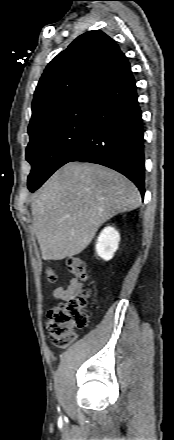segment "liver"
Masks as SVG:
<instances>
[{
	"label": "liver",
	"mask_w": 174,
	"mask_h": 440,
	"mask_svg": "<svg viewBox=\"0 0 174 440\" xmlns=\"http://www.w3.org/2000/svg\"><path fill=\"white\" fill-rule=\"evenodd\" d=\"M137 187L122 174L90 163L56 171L31 203L33 230L44 260L81 253L113 216L139 207Z\"/></svg>",
	"instance_id": "liver-1"
}]
</instances>
